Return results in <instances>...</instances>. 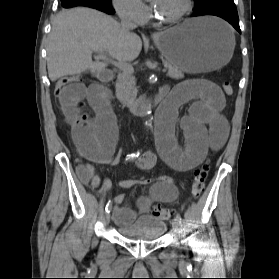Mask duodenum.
Segmentation results:
<instances>
[{
  "label": "duodenum",
  "instance_id": "obj_1",
  "mask_svg": "<svg viewBox=\"0 0 279 279\" xmlns=\"http://www.w3.org/2000/svg\"><path fill=\"white\" fill-rule=\"evenodd\" d=\"M94 76L101 82H107L112 78V73L109 70H100L94 73ZM127 109L136 116H142L148 113L151 109L150 103L143 97L134 99L126 103Z\"/></svg>",
  "mask_w": 279,
  "mask_h": 279
}]
</instances>
